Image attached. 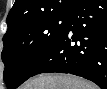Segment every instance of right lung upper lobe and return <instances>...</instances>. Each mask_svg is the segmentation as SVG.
I'll list each match as a JSON object with an SVG mask.
<instances>
[{
    "label": "right lung upper lobe",
    "instance_id": "obj_1",
    "mask_svg": "<svg viewBox=\"0 0 107 89\" xmlns=\"http://www.w3.org/2000/svg\"><path fill=\"white\" fill-rule=\"evenodd\" d=\"M80 0H15L7 17V25L40 16L70 12Z\"/></svg>",
    "mask_w": 107,
    "mask_h": 89
}]
</instances>
